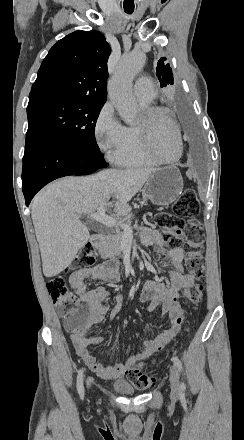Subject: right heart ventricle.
<instances>
[{"mask_svg": "<svg viewBox=\"0 0 244 440\" xmlns=\"http://www.w3.org/2000/svg\"><path fill=\"white\" fill-rule=\"evenodd\" d=\"M141 106L143 109H147L150 103H141ZM142 132L143 131L137 128L136 125L127 127V137L133 140L134 147L129 151L116 150L112 156V160L115 164L125 168H153L157 166L153 154H148L147 147H142ZM152 149H154V146H152Z\"/></svg>", "mask_w": 244, "mask_h": 440, "instance_id": "obj_1", "label": "right heart ventricle"}]
</instances>
